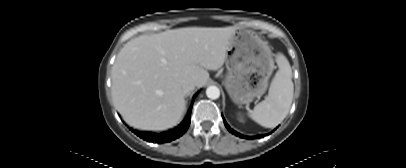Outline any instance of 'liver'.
<instances>
[{"label": "liver", "instance_id": "1", "mask_svg": "<svg viewBox=\"0 0 406 168\" xmlns=\"http://www.w3.org/2000/svg\"><path fill=\"white\" fill-rule=\"evenodd\" d=\"M236 27H186L130 40L112 68L116 109L131 126L162 131L176 126L185 112L187 81L202 87L207 70L221 68Z\"/></svg>", "mask_w": 406, "mask_h": 168}]
</instances>
